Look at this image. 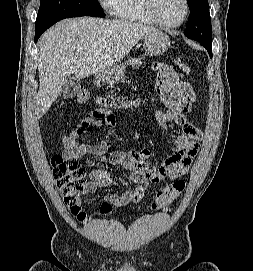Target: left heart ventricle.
<instances>
[{"mask_svg":"<svg viewBox=\"0 0 253 271\" xmlns=\"http://www.w3.org/2000/svg\"><path fill=\"white\" fill-rule=\"evenodd\" d=\"M156 9L160 18L171 24L178 23L185 12L183 0H156Z\"/></svg>","mask_w":253,"mask_h":271,"instance_id":"left-heart-ventricle-1","label":"left heart ventricle"}]
</instances>
